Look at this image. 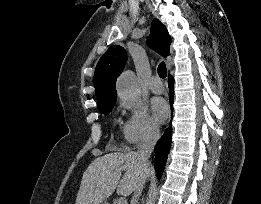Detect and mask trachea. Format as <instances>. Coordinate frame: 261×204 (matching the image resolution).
<instances>
[{
	"instance_id": "obj_1",
	"label": "trachea",
	"mask_w": 261,
	"mask_h": 204,
	"mask_svg": "<svg viewBox=\"0 0 261 204\" xmlns=\"http://www.w3.org/2000/svg\"><path fill=\"white\" fill-rule=\"evenodd\" d=\"M157 71H158V75L161 77V78H165L166 75H167V69H166V66H165V63L162 62L158 68H157Z\"/></svg>"
}]
</instances>
